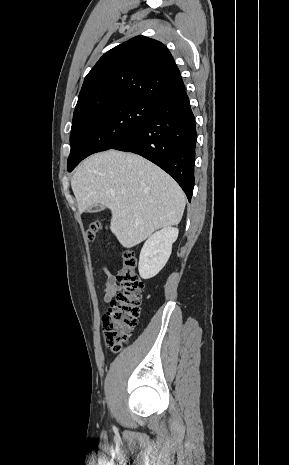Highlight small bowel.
<instances>
[{"label": "small bowel", "instance_id": "small-bowel-1", "mask_svg": "<svg viewBox=\"0 0 289 465\" xmlns=\"http://www.w3.org/2000/svg\"><path fill=\"white\" fill-rule=\"evenodd\" d=\"M105 272V287L102 290L103 298L106 302L111 301L118 291L120 290V286L117 284L116 278L112 275L106 267H104Z\"/></svg>", "mask_w": 289, "mask_h": 465}]
</instances>
